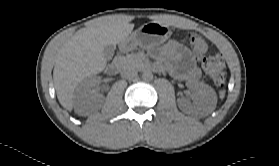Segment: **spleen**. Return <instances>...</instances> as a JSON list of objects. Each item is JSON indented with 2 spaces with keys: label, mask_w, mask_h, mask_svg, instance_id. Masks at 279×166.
Returning <instances> with one entry per match:
<instances>
[{
  "label": "spleen",
  "mask_w": 279,
  "mask_h": 166,
  "mask_svg": "<svg viewBox=\"0 0 279 166\" xmlns=\"http://www.w3.org/2000/svg\"><path fill=\"white\" fill-rule=\"evenodd\" d=\"M224 95H225V91L224 90L220 91V98H223Z\"/></svg>",
  "instance_id": "obj_1"
}]
</instances>
